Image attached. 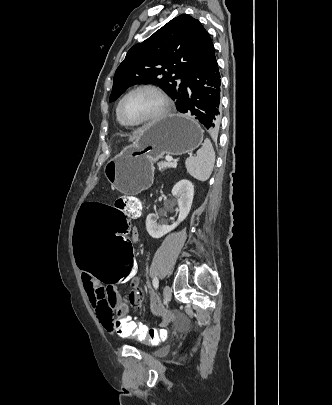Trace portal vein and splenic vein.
<instances>
[{
  "label": "portal vein and splenic vein",
  "instance_id": "18ae733b",
  "mask_svg": "<svg viewBox=\"0 0 332 405\" xmlns=\"http://www.w3.org/2000/svg\"><path fill=\"white\" fill-rule=\"evenodd\" d=\"M165 159H166L167 162L170 163V166L172 168H175L177 166V162H175L172 157L167 156Z\"/></svg>",
  "mask_w": 332,
  "mask_h": 405
}]
</instances>
